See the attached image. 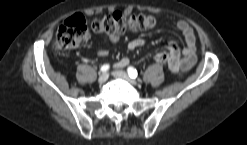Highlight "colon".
Returning a JSON list of instances; mask_svg holds the SVG:
<instances>
[{"label": "colon", "mask_w": 247, "mask_h": 145, "mask_svg": "<svg viewBox=\"0 0 247 145\" xmlns=\"http://www.w3.org/2000/svg\"><path fill=\"white\" fill-rule=\"evenodd\" d=\"M156 20L149 14L125 15L114 12L104 15L91 24L96 34H122L126 31L151 30ZM89 37L86 21L80 14H76L62 23L58 29L54 47L57 51L70 50ZM156 60L161 63L168 61L167 53H160Z\"/></svg>", "instance_id": "1"}]
</instances>
